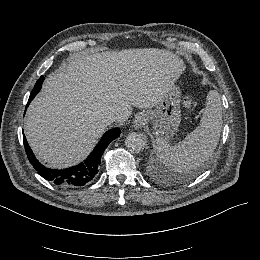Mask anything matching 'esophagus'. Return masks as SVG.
Here are the masks:
<instances>
[{
    "label": "esophagus",
    "mask_w": 260,
    "mask_h": 260,
    "mask_svg": "<svg viewBox=\"0 0 260 260\" xmlns=\"http://www.w3.org/2000/svg\"><path fill=\"white\" fill-rule=\"evenodd\" d=\"M147 122V115L145 113H138L135 115L133 125L135 128H142Z\"/></svg>",
    "instance_id": "34e87169"
}]
</instances>
